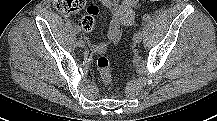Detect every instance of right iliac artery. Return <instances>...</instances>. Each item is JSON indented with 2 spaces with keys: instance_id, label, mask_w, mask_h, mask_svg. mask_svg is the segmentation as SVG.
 Wrapping results in <instances>:
<instances>
[{
  "instance_id": "right-iliac-artery-1",
  "label": "right iliac artery",
  "mask_w": 217,
  "mask_h": 121,
  "mask_svg": "<svg viewBox=\"0 0 217 121\" xmlns=\"http://www.w3.org/2000/svg\"><path fill=\"white\" fill-rule=\"evenodd\" d=\"M74 31H75L76 34H80L81 33V28L79 26H75Z\"/></svg>"
}]
</instances>
